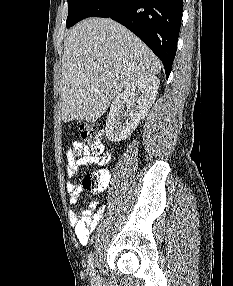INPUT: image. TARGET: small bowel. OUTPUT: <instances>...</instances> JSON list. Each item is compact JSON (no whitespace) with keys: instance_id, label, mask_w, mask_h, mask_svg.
Masks as SVG:
<instances>
[{"instance_id":"small-bowel-1","label":"small bowel","mask_w":233,"mask_h":286,"mask_svg":"<svg viewBox=\"0 0 233 286\" xmlns=\"http://www.w3.org/2000/svg\"><path fill=\"white\" fill-rule=\"evenodd\" d=\"M66 157L68 164L66 173L70 179L74 178L83 166L104 165L109 161L108 153L97 158L90 153L89 148L81 141H75L71 144ZM66 189L69 194L70 204L77 205L83 193L82 186L68 182ZM101 216L102 208L96 201L90 202L84 210H71L69 212L70 224L73 226L75 236L81 244L88 242L90 233L95 229Z\"/></svg>"}]
</instances>
